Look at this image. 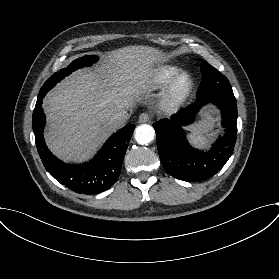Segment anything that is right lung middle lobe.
Returning a JSON list of instances; mask_svg holds the SVG:
<instances>
[{
	"instance_id": "1",
	"label": "right lung middle lobe",
	"mask_w": 279,
	"mask_h": 279,
	"mask_svg": "<svg viewBox=\"0 0 279 279\" xmlns=\"http://www.w3.org/2000/svg\"><path fill=\"white\" fill-rule=\"evenodd\" d=\"M98 60L96 56H84L74 60L68 67L61 69L59 72L53 74L43 85L41 91H49L57 82L62 80L65 76L69 75L78 68L90 66Z\"/></svg>"
}]
</instances>
